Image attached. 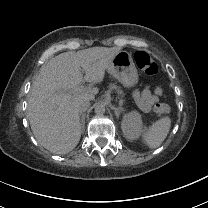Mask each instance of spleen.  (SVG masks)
Masks as SVG:
<instances>
[{"label": "spleen", "mask_w": 208, "mask_h": 208, "mask_svg": "<svg viewBox=\"0 0 208 208\" xmlns=\"http://www.w3.org/2000/svg\"><path fill=\"white\" fill-rule=\"evenodd\" d=\"M170 127L171 119L168 116L161 118L144 130L143 142L152 149L159 147L166 139Z\"/></svg>", "instance_id": "spleen-1"}]
</instances>
